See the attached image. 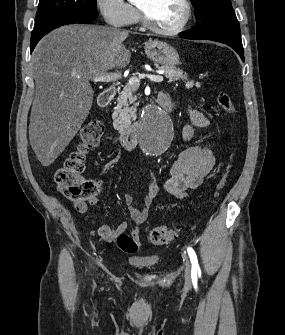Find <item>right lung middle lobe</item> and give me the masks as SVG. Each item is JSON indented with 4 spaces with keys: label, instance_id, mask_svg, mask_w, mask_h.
Instances as JSON below:
<instances>
[{
    "label": "right lung middle lobe",
    "instance_id": "right-lung-middle-lobe-1",
    "mask_svg": "<svg viewBox=\"0 0 285 335\" xmlns=\"http://www.w3.org/2000/svg\"><path fill=\"white\" fill-rule=\"evenodd\" d=\"M61 13H79L97 17L93 0H39L35 22Z\"/></svg>",
    "mask_w": 285,
    "mask_h": 335
}]
</instances>
